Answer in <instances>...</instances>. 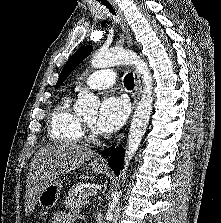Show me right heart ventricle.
<instances>
[{
  "instance_id": "right-heart-ventricle-1",
  "label": "right heart ventricle",
  "mask_w": 221,
  "mask_h": 223,
  "mask_svg": "<svg viewBox=\"0 0 221 223\" xmlns=\"http://www.w3.org/2000/svg\"><path fill=\"white\" fill-rule=\"evenodd\" d=\"M70 95L63 96L49 117V137L56 142L77 143L83 139L82 118L71 107Z\"/></svg>"
}]
</instances>
